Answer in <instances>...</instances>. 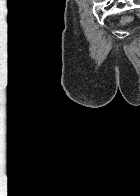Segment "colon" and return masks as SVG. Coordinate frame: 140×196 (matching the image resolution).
I'll list each match as a JSON object with an SVG mask.
<instances>
[{
  "label": "colon",
  "mask_w": 140,
  "mask_h": 196,
  "mask_svg": "<svg viewBox=\"0 0 140 196\" xmlns=\"http://www.w3.org/2000/svg\"><path fill=\"white\" fill-rule=\"evenodd\" d=\"M125 20H126V21H129V20H130V18H126Z\"/></svg>",
  "instance_id": "1"
}]
</instances>
